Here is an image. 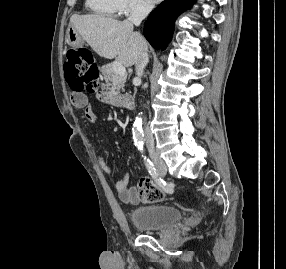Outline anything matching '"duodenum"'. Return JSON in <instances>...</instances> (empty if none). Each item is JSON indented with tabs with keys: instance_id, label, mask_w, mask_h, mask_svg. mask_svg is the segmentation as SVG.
<instances>
[{
	"instance_id": "obj_1",
	"label": "duodenum",
	"mask_w": 286,
	"mask_h": 269,
	"mask_svg": "<svg viewBox=\"0 0 286 269\" xmlns=\"http://www.w3.org/2000/svg\"><path fill=\"white\" fill-rule=\"evenodd\" d=\"M119 105L126 109H132L134 106V103L131 99H122L120 100Z\"/></svg>"
}]
</instances>
